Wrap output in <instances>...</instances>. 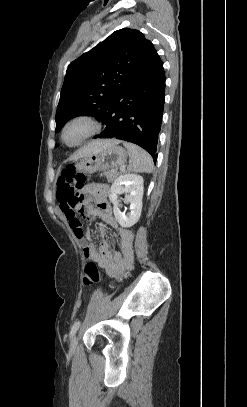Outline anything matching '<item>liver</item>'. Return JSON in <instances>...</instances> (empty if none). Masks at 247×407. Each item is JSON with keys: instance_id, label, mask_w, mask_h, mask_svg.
Returning <instances> with one entry per match:
<instances>
[{"instance_id": "6515ba94", "label": "liver", "mask_w": 247, "mask_h": 407, "mask_svg": "<svg viewBox=\"0 0 247 407\" xmlns=\"http://www.w3.org/2000/svg\"><path fill=\"white\" fill-rule=\"evenodd\" d=\"M119 143L118 140H96L91 141L81 149H79L71 158L70 160H78L85 156L98 153L99 151L105 149L106 147L117 145Z\"/></svg>"}]
</instances>
